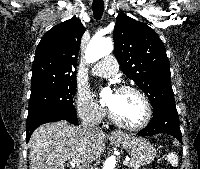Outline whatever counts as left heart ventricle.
I'll return each instance as SVG.
<instances>
[{
    "mask_svg": "<svg viewBox=\"0 0 200 169\" xmlns=\"http://www.w3.org/2000/svg\"><path fill=\"white\" fill-rule=\"evenodd\" d=\"M107 103L116 116L126 124L138 125L145 118V105L142 99L134 92L115 91L109 95Z\"/></svg>",
    "mask_w": 200,
    "mask_h": 169,
    "instance_id": "1",
    "label": "left heart ventricle"
}]
</instances>
